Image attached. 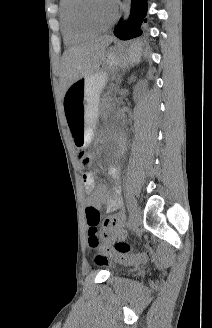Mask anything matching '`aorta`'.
I'll return each mask as SVG.
<instances>
[{
	"mask_svg": "<svg viewBox=\"0 0 212 328\" xmlns=\"http://www.w3.org/2000/svg\"><path fill=\"white\" fill-rule=\"evenodd\" d=\"M121 9L123 12V18L126 21L129 18L130 15V9H131V0H123L121 4Z\"/></svg>",
	"mask_w": 212,
	"mask_h": 328,
	"instance_id": "1",
	"label": "aorta"
}]
</instances>
